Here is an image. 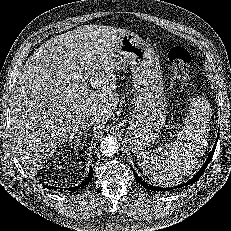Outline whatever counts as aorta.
Returning a JSON list of instances; mask_svg holds the SVG:
<instances>
[{
  "instance_id": "762f6f07",
  "label": "aorta",
  "mask_w": 231,
  "mask_h": 231,
  "mask_svg": "<svg viewBox=\"0 0 231 231\" xmlns=\"http://www.w3.org/2000/svg\"><path fill=\"white\" fill-rule=\"evenodd\" d=\"M120 143L115 136L106 137L100 144V152L103 156L111 157L118 152Z\"/></svg>"
}]
</instances>
